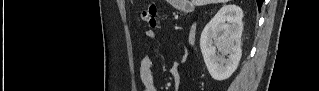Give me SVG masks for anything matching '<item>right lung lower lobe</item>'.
Instances as JSON below:
<instances>
[{"instance_id":"right-lung-lower-lobe-1","label":"right lung lower lobe","mask_w":319,"mask_h":91,"mask_svg":"<svg viewBox=\"0 0 319 91\" xmlns=\"http://www.w3.org/2000/svg\"><path fill=\"white\" fill-rule=\"evenodd\" d=\"M262 3H263V0H257V5H258L259 10L261 8Z\"/></svg>"}]
</instances>
